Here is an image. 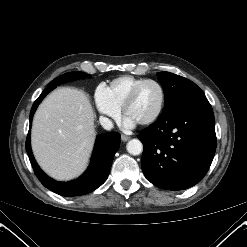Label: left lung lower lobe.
<instances>
[{"label": "left lung lower lobe", "instance_id": "1", "mask_svg": "<svg viewBox=\"0 0 247 247\" xmlns=\"http://www.w3.org/2000/svg\"><path fill=\"white\" fill-rule=\"evenodd\" d=\"M145 177L167 190H184L207 173L216 150L212 107L203 94L186 97L138 135Z\"/></svg>", "mask_w": 247, "mask_h": 247}]
</instances>
